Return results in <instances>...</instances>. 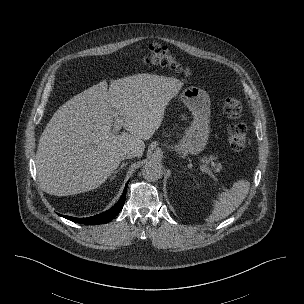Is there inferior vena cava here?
<instances>
[{
	"instance_id": "602c4592",
	"label": "inferior vena cava",
	"mask_w": 304,
	"mask_h": 304,
	"mask_svg": "<svg viewBox=\"0 0 304 304\" xmlns=\"http://www.w3.org/2000/svg\"><path fill=\"white\" fill-rule=\"evenodd\" d=\"M122 159H132L134 157H137V152L135 150L126 151L121 155Z\"/></svg>"
}]
</instances>
